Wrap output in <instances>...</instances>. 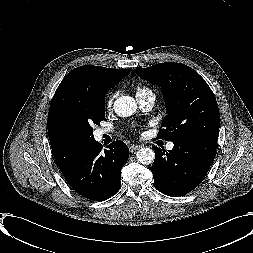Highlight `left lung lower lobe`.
<instances>
[{"instance_id": "left-lung-lower-lobe-1", "label": "left lung lower lobe", "mask_w": 253, "mask_h": 253, "mask_svg": "<svg viewBox=\"0 0 253 253\" xmlns=\"http://www.w3.org/2000/svg\"><path fill=\"white\" fill-rule=\"evenodd\" d=\"M172 150L153 146L154 186L161 193L178 197L191 192L206 176L214 159L217 141L197 139L173 142Z\"/></svg>"}]
</instances>
